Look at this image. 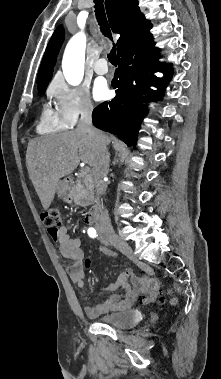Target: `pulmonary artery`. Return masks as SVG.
Here are the masks:
<instances>
[{"label":"pulmonary artery","mask_w":221,"mask_h":379,"mask_svg":"<svg viewBox=\"0 0 221 379\" xmlns=\"http://www.w3.org/2000/svg\"><path fill=\"white\" fill-rule=\"evenodd\" d=\"M94 71L99 75H104L108 72L107 61L104 58L99 59L94 64Z\"/></svg>","instance_id":"e3ab8cb5"}]
</instances>
